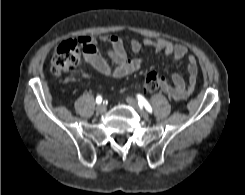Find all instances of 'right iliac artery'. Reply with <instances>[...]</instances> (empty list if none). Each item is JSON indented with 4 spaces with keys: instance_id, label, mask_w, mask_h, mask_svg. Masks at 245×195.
Instances as JSON below:
<instances>
[{
    "instance_id": "right-iliac-artery-1",
    "label": "right iliac artery",
    "mask_w": 245,
    "mask_h": 195,
    "mask_svg": "<svg viewBox=\"0 0 245 195\" xmlns=\"http://www.w3.org/2000/svg\"><path fill=\"white\" fill-rule=\"evenodd\" d=\"M102 102V97L99 95L96 97V103L100 104Z\"/></svg>"
}]
</instances>
